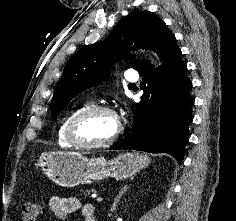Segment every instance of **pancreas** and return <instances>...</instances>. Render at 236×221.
Returning a JSON list of instances; mask_svg holds the SVG:
<instances>
[{"label": "pancreas", "mask_w": 236, "mask_h": 221, "mask_svg": "<svg viewBox=\"0 0 236 221\" xmlns=\"http://www.w3.org/2000/svg\"><path fill=\"white\" fill-rule=\"evenodd\" d=\"M92 191L95 192V190H93V189H92ZM86 192L87 193L85 194V196H88L90 194L91 190H87Z\"/></svg>", "instance_id": "1"}]
</instances>
